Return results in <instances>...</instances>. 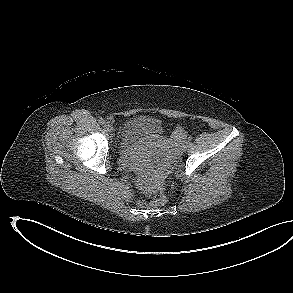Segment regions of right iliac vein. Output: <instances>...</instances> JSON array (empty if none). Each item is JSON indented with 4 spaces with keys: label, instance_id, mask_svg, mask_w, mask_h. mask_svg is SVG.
<instances>
[{
    "label": "right iliac vein",
    "instance_id": "right-iliac-vein-1",
    "mask_svg": "<svg viewBox=\"0 0 293 293\" xmlns=\"http://www.w3.org/2000/svg\"><path fill=\"white\" fill-rule=\"evenodd\" d=\"M104 127H105V129H106L108 132H110V133L113 131V127H112V125L109 124V123H106V124L104 125Z\"/></svg>",
    "mask_w": 293,
    "mask_h": 293
}]
</instances>
